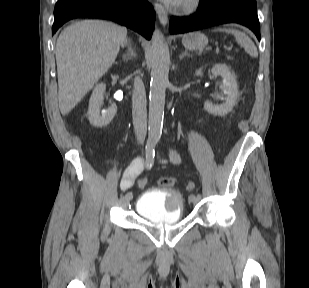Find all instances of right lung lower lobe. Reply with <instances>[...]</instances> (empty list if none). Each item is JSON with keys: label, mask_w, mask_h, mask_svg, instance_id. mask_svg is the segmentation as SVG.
<instances>
[{"label": "right lung lower lobe", "mask_w": 309, "mask_h": 288, "mask_svg": "<svg viewBox=\"0 0 309 288\" xmlns=\"http://www.w3.org/2000/svg\"><path fill=\"white\" fill-rule=\"evenodd\" d=\"M79 17L111 19L150 39L155 12L147 0H69L56 6L52 34L66 21Z\"/></svg>", "instance_id": "1"}]
</instances>
